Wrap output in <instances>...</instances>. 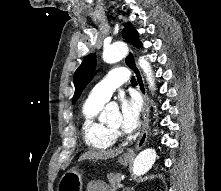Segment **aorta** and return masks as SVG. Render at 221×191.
Wrapping results in <instances>:
<instances>
[{
	"mask_svg": "<svg viewBox=\"0 0 221 191\" xmlns=\"http://www.w3.org/2000/svg\"><path fill=\"white\" fill-rule=\"evenodd\" d=\"M127 52H128V47L125 43L116 42L104 49L103 60L106 63H115L122 60L126 56ZM138 65L143 70L146 76L149 88L153 89L155 83L150 63L144 57H140L138 59ZM116 110L117 108L115 107L107 106L104 111V116ZM155 159H156L155 149L148 148L143 150L138 154V156L134 161L133 173L137 176L145 174L152 167V165L155 162Z\"/></svg>",
	"mask_w": 221,
	"mask_h": 191,
	"instance_id": "obj_1",
	"label": "aorta"
}]
</instances>
